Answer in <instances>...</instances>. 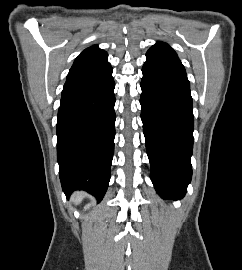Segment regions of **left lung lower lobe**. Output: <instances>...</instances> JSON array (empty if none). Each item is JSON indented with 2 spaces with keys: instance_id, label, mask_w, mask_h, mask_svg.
Returning <instances> with one entry per match:
<instances>
[{
  "instance_id": "1",
  "label": "left lung lower lobe",
  "mask_w": 242,
  "mask_h": 270,
  "mask_svg": "<svg viewBox=\"0 0 242 270\" xmlns=\"http://www.w3.org/2000/svg\"><path fill=\"white\" fill-rule=\"evenodd\" d=\"M141 119L150 177L164 199L183 198L191 181L194 117L190 83L180 61L147 58Z\"/></svg>"
}]
</instances>
